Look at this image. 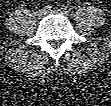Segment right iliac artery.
<instances>
[{
    "instance_id": "82829eb1",
    "label": "right iliac artery",
    "mask_w": 111,
    "mask_h": 106,
    "mask_svg": "<svg viewBox=\"0 0 111 106\" xmlns=\"http://www.w3.org/2000/svg\"><path fill=\"white\" fill-rule=\"evenodd\" d=\"M44 9H45L46 11H51L52 7H51V5H46V6L44 7Z\"/></svg>"
}]
</instances>
